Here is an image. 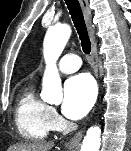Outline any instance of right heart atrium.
<instances>
[{"instance_id": "1", "label": "right heart atrium", "mask_w": 131, "mask_h": 151, "mask_svg": "<svg viewBox=\"0 0 131 151\" xmlns=\"http://www.w3.org/2000/svg\"><path fill=\"white\" fill-rule=\"evenodd\" d=\"M49 117H50L51 123H52L54 128H56L60 125L61 118H60L59 114L57 113V111L53 107H50Z\"/></svg>"}]
</instances>
